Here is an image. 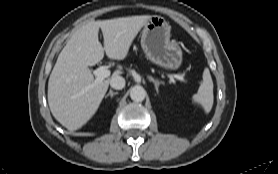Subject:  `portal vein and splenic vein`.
<instances>
[{"label":"portal vein and splenic vein","mask_w":278,"mask_h":174,"mask_svg":"<svg viewBox=\"0 0 278 174\" xmlns=\"http://www.w3.org/2000/svg\"><path fill=\"white\" fill-rule=\"evenodd\" d=\"M93 73L96 76V79H95L94 83L92 84V86L98 85L105 78L110 76V70L108 69L107 66H100ZM169 77L170 78H175V79L180 80L182 82H186V80L182 76L177 75V74H170Z\"/></svg>","instance_id":"obj_1"}]
</instances>
